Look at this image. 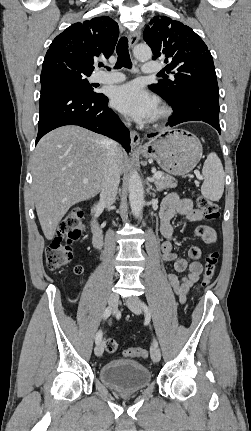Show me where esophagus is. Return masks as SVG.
Returning a JSON list of instances; mask_svg holds the SVG:
<instances>
[{
	"label": "esophagus",
	"instance_id": "obj_1",
	"mask_svg": "<svg viewBox=\"0 0 251 431\" xmlns=\"http://www.w3.org/2000/svg\"><path fill=\"white\" fill-rule=\"evenodd\" d=\"M140 35H141L140 30H136L128 36L129 46L131 48L135 46L136 43L139 41ZM130 138H131L132 149H138L140 147V135L136 131L131 130Z\"/></svg>",
	"mask_w": 251,
	"mask_h": 431
}]
</instances>
